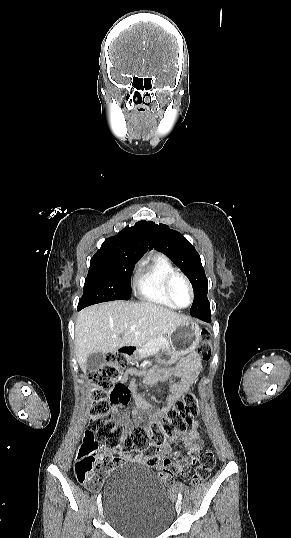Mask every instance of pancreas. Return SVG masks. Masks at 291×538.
<instances>
[{"label": "pancreas", "instance_id": "1", "mask_svg": "<svg viewBox=\"0 0 291 538\" xmlns=\"http://www.w3.org/2000/svg\"><path fill=\"white\" fill-rule=\"evenodd\" d=\"M168 347L169 343L167 341L160 339L151 340L139 347L138 358L157 354L160 350L168 349Z\"/></svg>", "mask_w": 291, "mask_h": 538}]
</instances>
